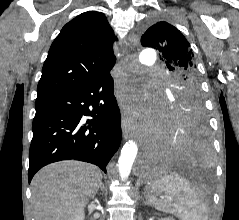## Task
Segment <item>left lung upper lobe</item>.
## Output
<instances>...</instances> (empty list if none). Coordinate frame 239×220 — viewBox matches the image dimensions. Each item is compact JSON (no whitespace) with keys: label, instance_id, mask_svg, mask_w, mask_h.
<instances>
[{"label":"left lung upper lobe","instance_id":"left-lung-upper-lobe-1","mask_svg":"<svg viewBox=\"0 0 239 220\" xmlns=\"http://www.w3.org/2000/svg\"><path fill=\"white\" fill-rule=\"evenodd\" d=\"M141 43L144 47L156 49L167 68L176 73V80L169 87L167 108L181 112L196 108L204 112L200 76L184 35L173 25L162 21L145 31Z\"/></svg>","mask_w":239,"mask_h":220}]
</instances>
